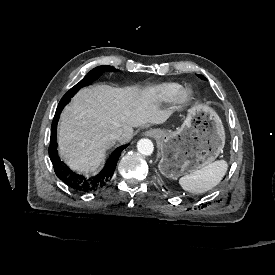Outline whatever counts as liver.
Returning <instances> with one entry per match:
<instances>
[{
  "instance_id": "1",
  "label": "liver",
  "mask_w": 275,
  "mask_h": 275,
  "mask_svg": "<svg viewBox=\"0 0 275 275\" xmlns=\"http://www.w3.org/2000/svg\"><path fill=\"white\" fill-rule=\"evenodd\" d=\"M160 105L152 88L97 85L81 89L61 114L60 157L78 173H98L106 149L115 144L110 134L121 129L118 141L124 144L132 138L133 127L164 123L171 113Z\"/></svg>"
}]
</instances>
